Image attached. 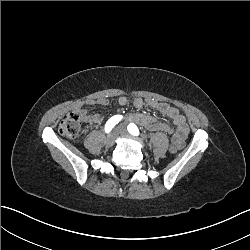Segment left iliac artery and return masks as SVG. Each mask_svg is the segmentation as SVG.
Wrapping results in <instances>:
<instances>
[{
  "label": "left iliac artery",
  "instance_id": "left-iliac-artery-1",
  "mask_svg": "<svg viewBox=\"0 0 250 250\" xmlns=\"http://www.w3.org/2000/svg\"><path fill=\"white\" fill-rule=\"evenodd\" d=\"M127 130L129 131L130 134H132L134 136L139 135V129L134 123H130L127 127Z\"/></svg>",
  "mask_w": 250,
  "mask_h": 250
}]
</instances>
